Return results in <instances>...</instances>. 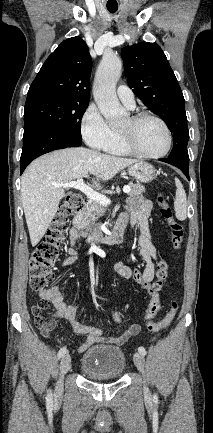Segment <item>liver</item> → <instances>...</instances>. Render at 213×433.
Wrapping results in <instances>:
<instances>
[{
    "label": "liver",
    "mask_w": 213,
    "mask_h": 433,
    "mask_svg": "<svg viewBox=\"0 0 213 433\" xmlns=\"http://www.w3.org/2000/svg\"><path fill=\"white\" fill-rule=\"evenodd\" d=\"M136 162L83 147L60 149L35 159L21 177V198L32 246L44 236L64 196L63 187L52 183L92 174L97 179L93 185L100 188L99 180L107 181Z\"/></svg>",
    "instance_id": "6515ba94"
}]
</instances>
